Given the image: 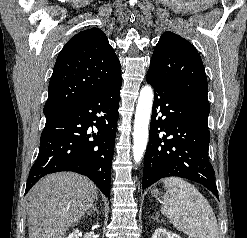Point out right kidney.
<instances>
[{
	"label": "right kidney",
	"instance_id": "right-kidney-1",
	"mask_svg": "<svg viewBox=\"0 0 247 238\" xmlns=\"http://www.w3.org/2000/svg\"><path fill=\"white\" fill-rule=\"evenodd\" d=\"M67 238H79V230L75 229Z\"/></svg>",
	"mask_w": 247,
	"mask_h": 238
}]
</instances>
